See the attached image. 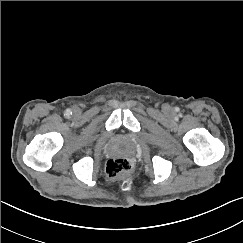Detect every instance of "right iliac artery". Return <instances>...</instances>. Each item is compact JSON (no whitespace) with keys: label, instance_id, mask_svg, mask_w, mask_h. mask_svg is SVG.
<instances>
[{"label":"right iliac artery","instance_id":"1","mask_svg":"<svg viewBox=\"0 0 243 243\" xmlns=\"http://www.w3.org/2000/svg\"><path fill=\"white\" fill-rule=\"evenodd\" d=\"M72 114L71 110L70 109H66L65 111V116L68 117Z\"/></svg>","mask_w":243,"mask_h":243}]
</instances>
